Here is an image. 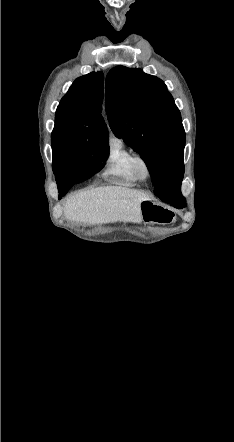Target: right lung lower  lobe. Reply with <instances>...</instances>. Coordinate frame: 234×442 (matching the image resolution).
<instances>
[{
  "instance_id": "1",
  "label": "right lung lower lobe",
  "mask_w": 234,
  "mask_h": 442,
  "mask_svg": "<svg viewBox=\"0 0 234 442\" xmlns=\"http://www.w3.org/2000/svg\"><path fill=\"white\" fill-rule=\"evenodd\" d=\"M70 188L71 187H69L67 185H58L59 199H61V197L64 196Z\"/></svg>"
}]
</instances>
